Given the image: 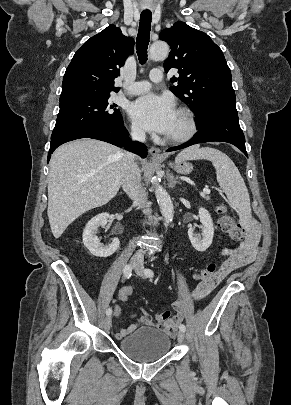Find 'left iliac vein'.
I'll list each match as a JSON object with an SVG mask.
<instances>
[{
	"label": "left iliac vein",
	"instance_id": "obj_1",
	"mask_svg": "<svg viewBox=\"0 0 291 405\" xmlns=\"http://www.w3.org/2000/svg\"><path fill=\"white\" fill-rule=\"evenodd\" d=\"M135 271H136V273H137L139 276L143 277V275H144V268H143V266H138V267L135 269ZM177 338H178V342L182 344V343L184 342V339H185V333L180 330V331L178 332Z\"/></svg>",
	"mask_w": 291,
	"mask_h": 405
}]
</instances>
